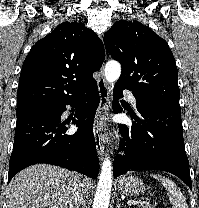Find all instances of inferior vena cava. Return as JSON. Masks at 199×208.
Segmentation results:
<instances>
[{
	"label": "inferior vena cava",
	"mask_w": 199,
	"mask_h": 208,
	"mask_svg": "<svg viewBox=\"0 0 199 208\" xmlns=\"http://www.w3.org/2000/svg\"><path fill=\"white\" fill-rule=\"evenodd\" d=\"M85 194L81 180L79 179L74 186L73 193L69 200V208H84Z\"/></svg>",
	"instance_id": "1"
}]
</instances>
